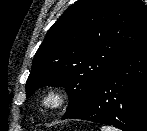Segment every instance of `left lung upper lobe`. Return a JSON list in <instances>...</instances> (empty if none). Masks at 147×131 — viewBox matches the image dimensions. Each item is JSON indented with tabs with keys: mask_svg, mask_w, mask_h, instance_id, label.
Segmentation results:
<instances>
[{
	"mask_svg": "<svg viewBox=\"0 0 147 131\" xmlns=\"http://www.w3.org/2000/svg\"><path fill=\"white\" fill-rule=\"evenodd\" d=\"M147 41L141 0H78L49 29L33 59L27 96L43 86H64L65 115L81 109L111 67Z\"/></svg>",
	"mask_w": 147,
	"mask_h": 131,
	"instance_id": "obj_1",
	"label": "left lung upper lobe"
}]
</instances>
